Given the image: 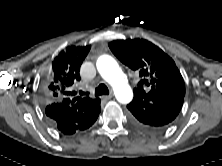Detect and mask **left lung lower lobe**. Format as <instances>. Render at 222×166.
<instances>
[{
  "label": "left lung lower lobe",
  "instance_id": "obj_1",
  "mask_svg": "<svg viewBox=\"0 0 222 166\" xmlns=\"http://www.w3.org/2000/svg\"><path fill=\"white\" fill-rule=\"evenodd\" d=\"M183 98L177 93H159L153 97L134 94L132 102L127 105L130 120L145 131L162 130L179 114Z\"/></svg>",
  "mask_w": 222,
  "mask_h": 166
}]
</instances>
